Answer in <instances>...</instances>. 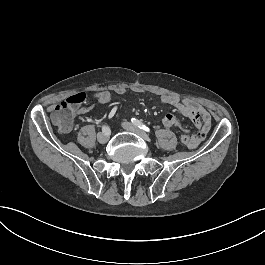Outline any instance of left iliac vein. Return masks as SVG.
<instances>
[{
    "label": "left iliac vein",
    "mask_w": 265,
    "mask_h": 265,
    "mask_svg": "<svg viewBox=\"0 0 265 265\" xmlns=\"http://www.w3.org/2000/svg\"><path fill=\"white\" fill-rule=\"evenodd\" d=\"M122 127L127 130V131H130V132H134L136 133L137 135H139L144 141H149L150 138L149 136L144 132L142 131L141 129L137 128L135 125H133L132 123H129V122H123L122 123Z\"/></svg>",
    "instance_id": "obj_1"
}]
</instances>
